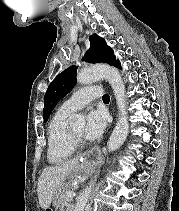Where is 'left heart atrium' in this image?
Returning a JSON list of instances; mask_svg holds the SVG:
<instances>
[{
	"instance_id": "left-heart-atrium-1",
	"label": "left heart atrium",
	"mask_w": 179,
	"mask_h": 211,
	"mask_svg": "<svg viewBox=\"0 0 179 211\" xmlns=\"http://www.w3.org/2000/svg\"><path fill=\"white\" fill-rule=\"evenodd\" d=\"M108 117L105 111L92 110L87 115V123L84 136L89 141L98 140L104 133L107 126Z\"/></svg>"
}]
</instances>
